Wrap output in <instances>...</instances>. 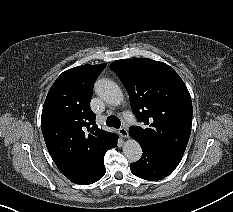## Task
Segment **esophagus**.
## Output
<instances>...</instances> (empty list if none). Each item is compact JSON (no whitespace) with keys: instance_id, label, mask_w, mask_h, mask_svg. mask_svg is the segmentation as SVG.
Here are the masks:
<instances>
[{"instance_id":"34e87169","label":"esophagus","mask_w":233,"mask_h":212,"mask_svg":"<svg viewBox=\"0 0 233 212\" xmlns=\"http://www.w3.org/2000/svg\"><path fill=\"white\" fill-rule=\"evenodd\" d=\"M119 134L123 137V138H128L129 137V133L128 130L124 127H121L119 129Z\"/></svg>"}]
</instances>
